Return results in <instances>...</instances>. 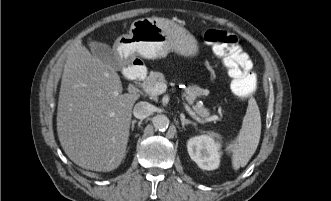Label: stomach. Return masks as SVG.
<instances>
[{
  "label": "stomach",
  "instance_id": "obj_1",
  "mask_svg": "<svg viewBox=\"0 0 331 201\" xmlns=\"http://www.w3.org/2000/svg\"><path fill=\"white\" fill-rule=\"evenodd\" d=\"M115 47L124 58L141 56L145 59H157L170 52L193 57L198 53L197 41L193 35L173 21L159 17L135 20L129 33L116 39Z\"/></svg>",
  "mask_w": 331,
  "mask_h": 201
}]
</instances>
